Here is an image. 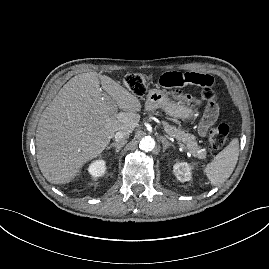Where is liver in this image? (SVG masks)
<instances>
[{
  "label": "liver",
  "mask_w": 269,
  "mask_h": 269,
  "mask_svg": "<svg viewBox=\"0 0 269 269\" xmlns=\"http://www.w3.org/2000/svg\"><path fill=\"white\" fill-rule=\"evenodd\" d=\"M141 108L133 93L106 75L87 72L71 78L38 122L36 156L43 176L52 184L70 182L103 152L115 132L131 133L138 126Z\"/></svg>",
  "instance_id": "1"
}]
</instances>
